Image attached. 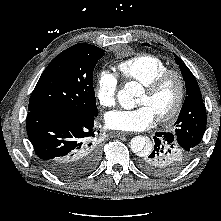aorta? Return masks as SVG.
Here are the masks:
<instances>
[{
    "label": "aorta",
    "instance_id": "1",
    "mask_svg": "<svg viewBox=\"0 0 221 221\" xmlns=\"http://www.w3.org/2000/svg\"><path fill=\"white\" fill-rule=\"evenodd\" d=\"M142 93V86L136 82H127L123 89L118 92V101L125 109L135 106V98ZM130 148L133 153L143 156L152 150V142L144 136H135L131 139Z\"/></svg>",
    "mask_w": 221,
    "mask_h": 221
}]
</instances>
